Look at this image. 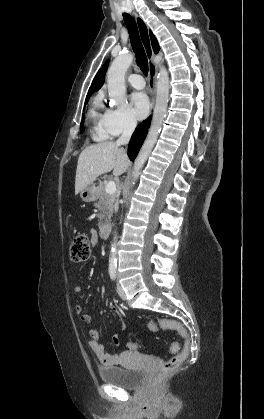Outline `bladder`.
<instances>
[{"label": "bladder", "mask_w": 264, "mask_h": 419, "mask_svg": "<svg viewBox=\"0 0 264 419\" xmlns=\"http://www.w3.org/2000/svg\"><path fill=\"white\" fill-rule=\"evenodd\" d=\"M99 376L104 383L129 390L138 388L144 382L145 372L139 368L110 366L101 368Z\"/></svg>", "instance_id": "obj_1"}]
</instances>
